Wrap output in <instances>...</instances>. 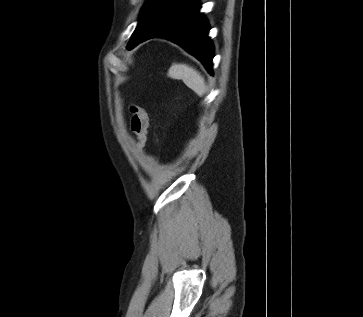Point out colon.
<instances>
[{
	"mask_svg": "<svg viewBox=\"0 0 363 317\" xmlns=\"http://www.w3.org/2000/svg\"><path fill=\"white\" fill-rule=\"evenodd\" d=\"M131 112V131L136 137L138 147L142 148L146 141L148 117L145 109L139 105L132 104Z\"/></svg>",
	"mask_w": 363,
	"mask_h": 317,
	"instance_id": "1",
	"label": "colon"
}]
</instances>
